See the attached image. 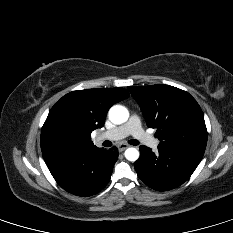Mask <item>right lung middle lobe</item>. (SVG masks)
<instances>
[{"label":"right lung middle lobe","mask_w":233,"mask_h":233,"mask_svg":"<svg viewBox=\"0 0 233 233\" xmlns=\"http://www.w3.org/2000/svg\"><path fill=\"white\" fill-rule=\"evenodd\" d=\"M74 139L73 132L64 125L51 124L41 132V149L68 150Z\"/></svg>","instance_id":"obj_1"}]
</instances>
